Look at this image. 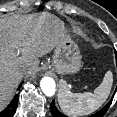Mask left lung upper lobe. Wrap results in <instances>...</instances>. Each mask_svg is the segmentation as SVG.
Listing matches in <instances>:
<instances>
[{
    "label": "left lung upper lobe",
    "instance_id": "left-lung-upper-lobe-1",
    "mask_svg": "<svg viewBox=\"0 0 117 117\" xmlns=\"http://www.w3.org/2000/svg\"><path fill=\"white\" fill-rule=\"evenodd\" d=\"M116 59H117V51H115Z\"/></svg>",
    "mask_w": 117,
    "mask_h": 117
}]
</instances>
